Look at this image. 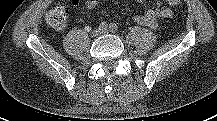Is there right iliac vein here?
I'll list each match as a JSON object with an SVG mask.
<instances>
[{"mask_svg": "<svg viewBox=\"0 0 217 121\" xmlns=\"http://www.w3.org/2000/svg\"><path fill=\"white\" fill-rule=\"evenodd\" d=\"M101 34V31L100 30H94L93 32H92V37H97V36H99Z\"/></svg>", "mask_w": 217, "mask_h": 121, "instance_id": "1", "label": "right iliac vein"}]
</instances>
